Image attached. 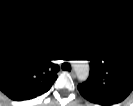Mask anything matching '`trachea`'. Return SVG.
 Instances as JSON below:
<instances>
[{
    "label": "trachea",
    "instance_id": "trachea-1",
    "mask_svg": "<svg viewBox=\"0 0 133 106\" xmlns=\"http://www.w3.org/2000/svg\"><path fill=\"white\" fill-rule=\"evenodd\" d=\"M66 70H70V67L68 65L63 66Z\"/></svg>",
    "mask_w": 133,
    "mask_h": 106
}]
</instances>
